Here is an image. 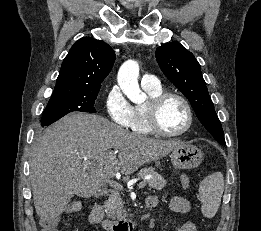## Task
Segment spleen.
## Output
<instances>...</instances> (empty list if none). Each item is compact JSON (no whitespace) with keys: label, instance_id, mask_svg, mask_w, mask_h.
<instances>
[{"label":"spleen","instance_id":"1","mask_svg":"<svg viewBox=\"0 0 261 231\" xmlns=\"http://www.w3.org/2000/svg\"><path fill=\"white\" fill-rule=\"evenodd\" d=\"M224 191V177L221 172H214L205 177L199 185V198L203 203L201 211L207 218L215 216Z\"/></svg>","mask_w":261,"mask_h":231}]
</instances>
